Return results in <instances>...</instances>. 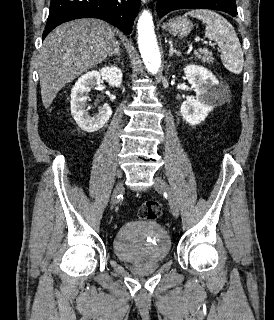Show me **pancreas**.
<instances>
[{
  "label": "pancreas",
  "mask_w": 274,
  "mask_h": 320,
  "mask_svg": "<svg viewBox=\"0 0 274 320\" xmlns=\"http://www.w3.org/2000/svg\"><path fill=\"white\" fill-rule=\"evenodd\" d=\"M195 58H199L202 62H206V64H211L214 62V58H212V52H208V50H201V52H196Z\"/></svg>",
  "instance_id": "cf45deb5"
}]
</instances>
